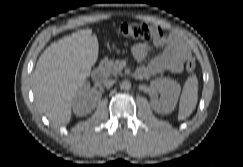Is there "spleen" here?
<instances>
[{
	"label": "spleen",
	"instance_id": "1",
	"mask_svg": "<svg viewBox=\"0 0 243 167\" xmlns=\"http://www.w3.org/2000/svg\"><path fill=\"white\" fill-rule=\"evenodd\" d=\"M198 100V79L196 75L189 76L183 86L179 102L178 119L184 120L194 111Z\"/></svg>",
	"mask_w": 243,
	"mask_h": 167
}]
</instances>
